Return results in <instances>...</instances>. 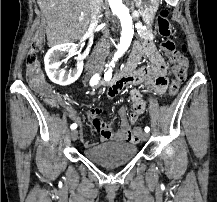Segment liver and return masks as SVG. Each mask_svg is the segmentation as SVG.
<instances>
[{"instance_id":"obj_1","label":"liver","mask_w":217,"mask_h":202,"mask_svg":"<svg viewBox=\"0 0 217 202\" xmlns=\"http://www.w3.org/2000/svg\"><path fill=\"white\" fill-rule=\"evenodd\" d=\"M47 20L48 46L77 42L89 24V0H37Z\"/></svg>"}]
</instances>
